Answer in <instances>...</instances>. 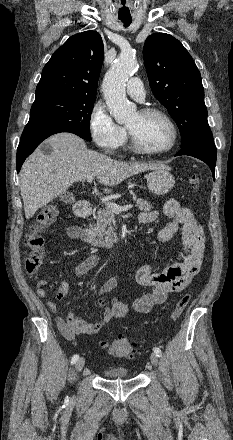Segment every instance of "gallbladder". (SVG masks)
Wrapping results in <instances>:
<instances>
[{"instance_id":"obj_1","label":"gallbladder","mask_w":233,"mask_h":440,"mask_svg":"<svg viewBox=\"0 0 233 440\" xmlns=\"http://www.w3.org/2000/svg\"><path fill=\"white\" fill-rule=\"evenodd\" d=\"M60 200L67 204H73L75 202V197L72 193L66 192L61 194Z\"/></svg>"}]
</instances>
